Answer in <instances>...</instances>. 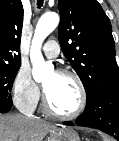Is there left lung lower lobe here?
<instances>
[{
    "instance_id": "1",
    "label": "left lung lower lobe",
    "mask_w": 119,
    "mask_h": 141,
    "mask_svg": "<svg viewBox=\"0 0 119 141\" xmlns=\"http://www.w3.org/2000/svg\"><path fill=\"white\" fill-rule=\"evenodd\" d=\"M76 125L99 129L119 141V87L103 90L87 99L86 108ZM65 125L73 126L70 121Z\"/></svg>"
}]
</instances>
